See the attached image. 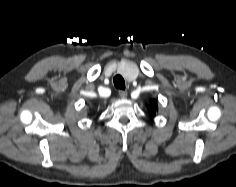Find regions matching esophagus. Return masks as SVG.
Here are the masks:
<instances>
[{
  "label": "esophagus",
  "instance_id": "1",
  "mask_svg": "<svg viewBox=\"0 0 236 187\" xmlns=\"http://www.w3.org/2000/svg\"><path fill=\"white\" fill-rule=\"evenodd\" d=\"M127 91H124V90H119V96L122 98V99H125L127 98Z\"/></svg>",
  "mask_w": 236,
  "mask_h": 187
}]
</instances>
